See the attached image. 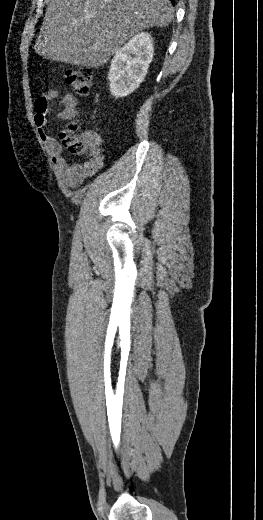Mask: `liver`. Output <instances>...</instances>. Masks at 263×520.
Returning a JSON list of instances; mask_svg holds the SVG:
<instances>
[{
	"label": "liver",
	"mask_w": 263,
	"mask_h": 520,
	"mask_svg": "<svg viewBox=\"0 0 263 520\" xmlns=\"http://www.w3.org/2000/svg\"><path fill=\"white\" fill-rule=\"evenodd\" d=\"M172 19L169 0H49L34 49L46 59L97 68L136 33Z\"/></svg>",
	"instance_id": "1"
}]
</instances>
